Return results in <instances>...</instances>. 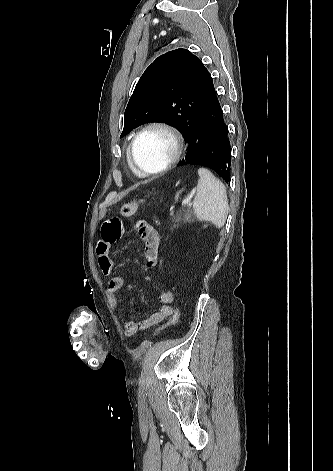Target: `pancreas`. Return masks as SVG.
Here are the masks:
<instances>
[{
  "label": "pancreas",
  "instance_id": "obj_1",
  "mask_svg": "<svg viewBox=\"0 0 333 471\" xmlns=\"http://www.w3.org/2000/svg\"><path fill=\"white\" fill-rule=\"evenodd\" d=\"M194 221V215L192 211L189 209H185L182 211H179L175 216L172 218V222L174 223L172 228H175L178 226L179 222L183 223H191Z\"/></svg>",
  "mask_w": 333,
  "mask_h": 471
}]
</instances>
